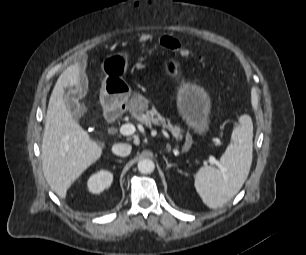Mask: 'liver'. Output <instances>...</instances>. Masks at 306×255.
<instances>
[{"label":"liver","mask_w":306,"mask_h":255,"mask_svg":"<svg viewBox=\"0 0 306 255\" xmlns=\"http://www.w3.org/2000/svg\"><path fill=\"white\" fill-rule=\"evenodd\" d=\"M80 80L78 63L64 70L52 91L46 114L42 168L47 183L62 199L73 182L102 155V147L73 119L63 99L64 88L79 86Z\"/></svg>","instance_id":"liver-1"}]
</instances>
